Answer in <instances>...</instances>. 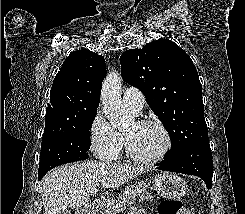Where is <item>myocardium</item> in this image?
<instances>
[{
    "mask_svg": "<svg viewBox=\"0 0 245 214\" xmlns=\"http://www.w3.org/2000/svg\"><path fill=\"white\" fill-rule=\"evenodd\" d=\"M135 123L140 126H151V127L158 128L162 132L165 142H164L163 148L158 154L152 157H143V156L136 154L131 149L127 139L125 138V136H123V141H124V145H125L128 156L134 161H137L143 164H153V163H156L162 160L168 154V152L170 151L172 147V138H171V135L168 129L161 122L155 121V120H138Z\"/></svg>",
    "mask_w": 245,
    "mask_h": 214,
    "instance_id": "f54148a6",
    "label": "myocardium"
}]
</instances>
